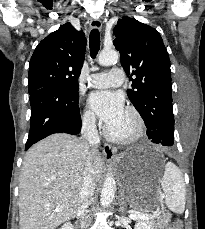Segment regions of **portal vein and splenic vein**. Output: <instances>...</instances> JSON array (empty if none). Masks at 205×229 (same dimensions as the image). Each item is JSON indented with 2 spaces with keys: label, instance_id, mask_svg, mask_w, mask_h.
Returning <instances> with one entry per match:
<instances>
[{
  "label": "portal vein and splenic vein",
  "instance_id": "1",
  "mask_svg": "<svg viewBox=\"0 0 205 229\" xmlns=\"http://www.w3.org/2000/svg\"><path fill=\"white\" fill-rule=\"evenodd\" d=\"M158 215V212L156 211V212H152V217H155V216H157ZM136 218H138V216L136 217Z\"/></svg>",
  "mask_w": 205,
  "mask_h": 229
}]
</instances>
